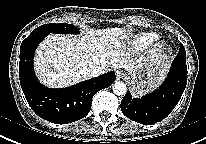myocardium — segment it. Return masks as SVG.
<instances>
[{"label":"myocardium","instance_id":"myocardium-1","mask_svg":"<svg viewBox=\"0 0 206 144\" xmlns=\"http://www.w3.org/2000/svg\"><path fill=\"white\" fill-rule=\"evenodd\" d=\"M167 42L160 37H157L152 43L148 46L147 57L149 60H157L160 58L166 51Z\"/></svg>","mask_w":206,"mask_h":144}]
</instances>
